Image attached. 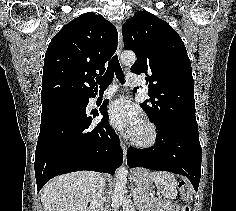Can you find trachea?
<instances>
[{"mask_svg":"<svg viewBox=\"0 0 236 211\" xmlns=\"http://www.w3.org/2000/svg\"><path fill=\"white\" fill-rule=\"evenodd\" d=\"M114 74L116 75V78L123 84L124 75L117 55L113 56L110 60L104 75L96 79V82L100 85V89H105L111 83Z\"/></svg>","mask_w":236,"mask_h":211,"instance_id":"3493384b","label":"trachea"}]
</instances>
